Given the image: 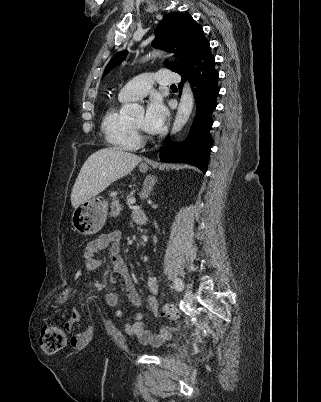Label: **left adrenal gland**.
Segmentation results:
<instances>
[{
	"label": "left adrenal gland",
	"mask_w": 321,
	"mask_h": 402,
	"mask_svg": "<svg viewBox=\"0 0 321 402\" xmlns=\"http://www.w3.org/2000/svg\"><path fill=\"white\" fill-rule=\"evenodd\" d=\"M156 182L157 179L155 176H147L144 181L143 189L140 193V198L147 199L150 192L152 191V187L155 185Z\"/></svg>",
	"instance_id": "1"
}]
</instances>
